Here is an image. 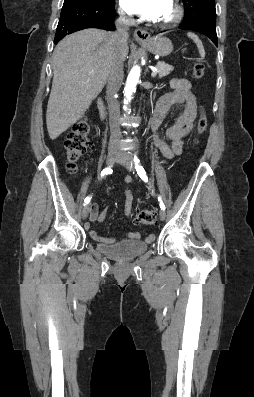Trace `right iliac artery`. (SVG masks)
I'll return each instance as SVG.
<instances>
[{"instance_id": "1", "label": "right iliac artery", "mask_w": 254, "mask_h": 397, "mask_svg": "<svg viewBox=\"0 0 254 397\" xmlns=\"http://www.w3.org/2000/svg\"><path fill=\"white\" fill-rule=\"evenodd\" d=\"M112 172V169L110 167L105 168L102 172H101V177L110 174ZM91 200V196H87L84 200V205L88 204Z\"/></svg>"}]
</instances>
